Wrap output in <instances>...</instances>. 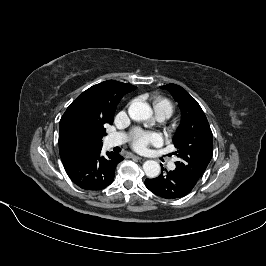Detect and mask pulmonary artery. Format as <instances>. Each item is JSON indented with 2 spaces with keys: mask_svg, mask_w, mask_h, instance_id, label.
Returning <instances> with one entry per match:
<instances>
[{
  "mask_svg": "<svg viewBox=\"0 0 266 266\" xmlns=\"http://www.w3.org/2000/svg\"><path fill=\"white\" fill-rule=\"evenodd\" d=\"M156 118L158 121H163L166 118H168V116L164 113H156ZM127 141V135L125 133H113L111 135H109L106 139V143L109 147H114V146H118L121 145L123 143H125ZM168 167L170 169H174L175 168V163L174 161H170L168 164Z\"/></svg>",
  "mask_w": 266,
  "mask_h": 266,
  "instance_id": "e3ab8cb5",
  "label": "pulmonary artery"
}]
</instances>
